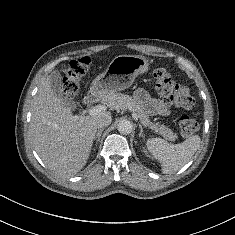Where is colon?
Listing matches in <instances>:
<instances>
[{
    "label": "colon",
    "mask_w": 235,
    "mask_h": 235,
    "mask_svg": "<svg viewBox=\"0 0 235 235\" xmlns=\"http://www.w3.org/2000/svg\"><path fill=\"white\" fill-rule=\"evenodd\" d=\"M90 63L87 57L77 58L69 62L62 77V91L66 99L74 97L78 92L80 79L88 72ZM153 78L158 92L166 102L183 109H192L195 106V100L189 89L175 82L165 69H156L153 72ZM178 125L181 134L184 136H191L199 128L197 120L188 115L180 116Z\"/></svg>",
    "instance_id": "1"
}]
</instances>
